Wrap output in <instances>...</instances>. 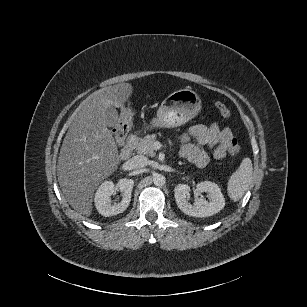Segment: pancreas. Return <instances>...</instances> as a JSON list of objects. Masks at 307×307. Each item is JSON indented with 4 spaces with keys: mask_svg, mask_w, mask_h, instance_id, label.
<instances>
[{
    "mask_svg": "<svg viewBox=\"0 0 307 307\" xmlns=\"http://www.w3.org/2000/svg\"><path fill=\"white\" fill-rule=\"evenodd\" d=\"M155 141V135H147L144 137H139L136 140L135 148L136 150L149 157H154L156 155V151L153 148V144Z\"/></svg>",
    "mask_w": 307,
    "mask_h": 307,
    "instance_id": "obj_1",
    "label": "pancreas"
}]
</instances>
